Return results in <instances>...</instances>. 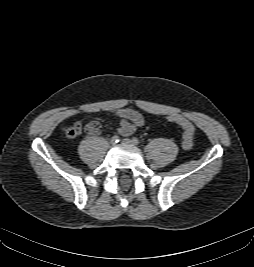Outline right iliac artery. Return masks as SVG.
<instances>
[{
    "label": "right iliac artery",
    "instance_id": "82829eb1",
    "mask_svg": "<svg viewBox=\"0 0 254 267\" xmlns=\"http://www.w3.org/2000/svg\"><path fill=\"white\" fill-rule=\"evenodd\" d=\"M119 140H120L119 136H118V135H114V136L111 138L110 141H111L112 144H116V143L119 142Z\"/></svg>",
    "mask_w": 254,
    "mask_h": 267
}]
</instances>
